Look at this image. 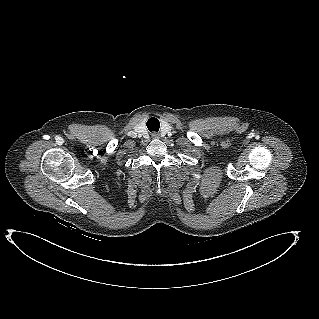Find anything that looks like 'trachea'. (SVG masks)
I'll use <instances>...</instances> for the list:
<instances>
[{"instance_id":"obj_1","label":"trachea","mask_w":319,"mask_h":319,"mask_svg":"<svg viewBox=\"0 0 319 319\" xmlns=\"http://www.w3.org/2000/svg\"><path fill=\"white\" fill-rule=\"evenodd\" d=\"M147 128L150 132L155 131L158 132L159 128H160V122L158 119L156 118H150L147 121Z\"/></svg>"}]
</instances>
